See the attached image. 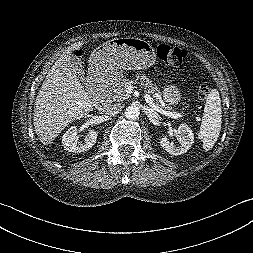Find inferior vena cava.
<instances>
[{"mask_svg": "<svg viewBox=\"0 0 253 253\" xmlns=\"http://www.w3.org/2000/svg\"><path fill=\"white\" fill-rule=\"evenodd\" d=\"M123 109V105L121 103H113L103 105L101 111H103L108 116H114L120 113Z\"/></svg>", "mask_w": 253, "mask_h": 253, "instance_id": "602c4592", "label": "inferior vena cava"}]
</instances>
